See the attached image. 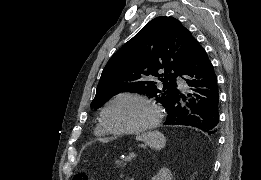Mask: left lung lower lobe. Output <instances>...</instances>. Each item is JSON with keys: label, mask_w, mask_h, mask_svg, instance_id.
I'll use <instances>...</instances> for the list:
<instances>
[{"label": "left lung lower lobe", "mask_w": 261, "mask_h": 180, "mask_svg": "<svg viewBox=\"0 0 261 180\" xmlns=\"http://www.w3.org/2000/svg\"><path fill=\"white\" fill-rule=\"evenodd\" d=\"M181 75L190 91L182 94L176 89L173 99L166 107L165 125H182L199 128L214 134L219 122V91L217 76L205 50L198 44L193 57Z\"/></svg>", "instance_id": "1"}]
</instances>
